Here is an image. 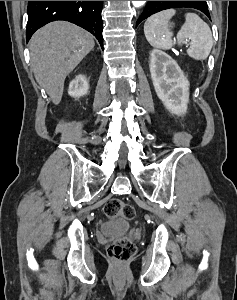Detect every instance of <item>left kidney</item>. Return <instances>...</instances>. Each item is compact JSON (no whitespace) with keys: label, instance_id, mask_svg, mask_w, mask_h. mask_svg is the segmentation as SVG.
<instances>
[{"label":"left kidney","instance_id":"5707ae66","mask_svg":"<svg viewBox=\"0 0 237 300\" xmlns=\"http://www.w3.org/2000/svg\"><path fill=\"white\" fill-rule=\"evenodd\" d=\"M150 73L157 97L173 115H185L189 103V81L178 63L159 49L150 57Z\"/></svg>","mask_w":237,"mask_h":300}]
</instances>
